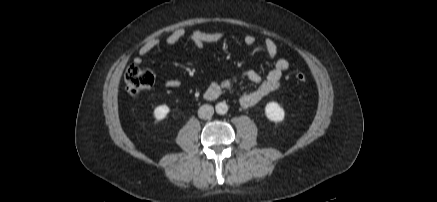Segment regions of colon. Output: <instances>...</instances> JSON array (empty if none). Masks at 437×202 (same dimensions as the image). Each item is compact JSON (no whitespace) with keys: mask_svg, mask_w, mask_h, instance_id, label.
I'll return each instance as SVG.
<instances>
[{"mask_svg":"<svg viewBox=\"0 0 437 202\" xmlns=\"http://www.w3.org/2000/svg\"><path fill=\"white\" fill-rule=\"evenodd\" d=\"M295 79L303 83L306 81V75L302 72H297ZM124 80L127 93L137 95L153 86L155 76L149 69H144L137 65H130L125 71Z\"/></svg>","mask_w":437,"mask_h":202,"instance_id":"1","label":"colon"}]
</instances>
